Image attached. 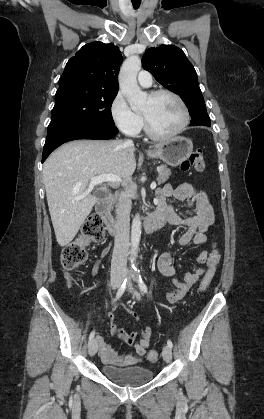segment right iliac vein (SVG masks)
Masks as SVG:
<instances>
[{
  "mask_svg": "<svg viewBox=\"0 0 264 419\" xmlns=\"http://www.w3.org/2000/svg\"><path fill=\"white\" fill-rule=\"evenodd\" d=\"M122 282V276L117 275L115 277H113L112 281H111V286L113 289H116L120 286ZM97 352V341L96 339H92L89 343H88V353L90 356H94Z\"/></svg>",
  "mask_w": 264,
  "mask_h": 419,
  "instance_id": "63e3f726",
  "label": "right iliac vein"
}]
</instances>
